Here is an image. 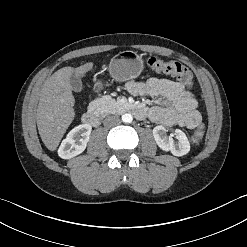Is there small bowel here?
<instances>
[{
  "label": "small bowel",
  "mask_w": 247,
  "mask_h": 247,
  "mask_svg": "<svg viewBox=\"0 0 247 247\" xmlns=\"http://www.w3.org/2000/svg\"><path fill=\"white\" fill-rule=\"evenodd\" d=\"M127 89L132 95L159 97V104L147 111L149 118L156 123L189 129L201 123L195 96L179 82L150 78L144 82L131 81Z\"/></svg>",
  "instance_id": "small-bowel-1"
}]
</instances>
